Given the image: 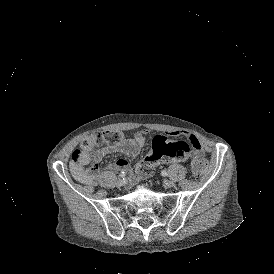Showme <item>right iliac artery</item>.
Listing matches in <instances>:
<instances>
[{"mask_svg":"<svg viewBox=\"0 0 274 274\" xmlns=\"http://www.w3.org/2000/svg\"><path fill=\"white\" fill-rule=\"evenodd\" d=\"M125 176H126V172L123 171V172L120 173V177L123 178V177H125Z\"/></svg>","mask_w":274,"mask_h":274,"instance_id":"82829eb1","label":"right iliac artery"}]
</instances>
